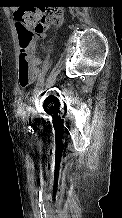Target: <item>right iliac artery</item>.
I'll return each instance as SVG.
<instances>
[{
	"instance_id": "1",
	"label": "right iliac artery",
	"mask_w": 122,
	"mask_h": 218,
	"mask_svg": "<svg viewBox=\"0 0 122 218\" xmlns=\"http://www.w3.org/2000/svg\"><path fill=\"white\" fill-rule=\"evenodd\" d=\"M23 124H24V128H25L26 130H30V129H31V127H30L29 124H28V118H27L26 115L23 116Z\"/></svg>"
}]
</instances>
